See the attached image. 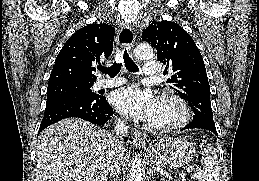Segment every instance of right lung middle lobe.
<instances>
[{"instance_id":"1","label":"right lung middle lobe","mask_w":259,"mask_h":181,"mask_svg":"<svg viewBox=\"0 0 259 181\" xmlns=\"http://www.w3.org/2000/svg\"><path fill=\"white\" fill-rule=\"evenodd\" d=\"M93 83H62L50 85L47 89V105L62 99L71 97H87L89 99H98V95L91 91Z\"/></svg>"}]
</instances>
